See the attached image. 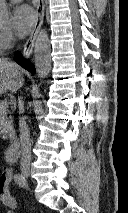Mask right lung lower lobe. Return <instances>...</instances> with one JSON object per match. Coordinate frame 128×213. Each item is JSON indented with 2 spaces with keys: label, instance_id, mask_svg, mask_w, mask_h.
I'll use <instances>...</instances> for the list:
<instances>
[{
  "label": "right lung lower lobe",
  "instance_id": "1",
  "mask_svg": "<svg viewBox=\"0 0 128 213\" xmlns=\"http://www.w3.org/2000/svg\"><path fill=\"white\" fill-rule=\"evenodd\" d=\"M15 60L21 64L22 66H24L25 68H27L30 72L35 73V69L33 64H31L29 61H25V59L22 57V55L20 54V52H16L14 54Z\"/></svg>",
  "mask_w": 128,
  "mask_h": 213
}]
</instances>
